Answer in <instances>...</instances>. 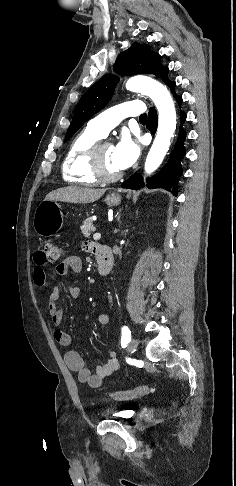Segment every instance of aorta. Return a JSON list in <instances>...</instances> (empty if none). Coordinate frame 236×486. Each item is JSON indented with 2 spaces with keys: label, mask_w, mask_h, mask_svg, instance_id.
Masks as SVG:
<instances>
[{
  "label": "aorta",
  "mask_w": 236,
  "mask_h": 486,
  "mask_svg": "<svg viewBox=\"0 0 236 486\" xmlns=\"http://www.w3.org/2000/svg\"><path fill=\"white\" fill-rule=\"evenodd\" d=\"M126 88L149 96L158 109L157 133L145 161V172L151 174L160 166L171 144L176 129L175 106L167 88L152 78L133 77L127 81Z\"/></svg>",
  "instance_id": "1"
}]
</instances>
